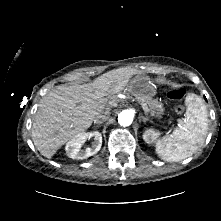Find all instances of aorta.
I'll return each instance as SVG.
<instances>
[{"instance_id":"762f6f07","label":"aorta","mask_w":221,"mask_h":221,"mask_svg":"<svg viewBox=\"0 0 221 221\" xmlns=\"http://www.w3.org/2000/svg\"><path fill=\"white\" fill-rule=\"evenodd\" d=\"M134 113L131 110H123L118 115V123L123 126H129L133 122Z\"/></svg>"}]
</instances>
